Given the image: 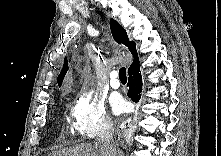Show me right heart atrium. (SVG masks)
<instances>
[{
    "mask_svg": "<svg viewBox=\"0 0 221 156\" xmlns=\"http://www.w3.org/2000/svg\"><path fill=\"white\" fill-rule=\"evenodd\" d=\"M72 130L82 140H92L113 130V121L103 101L91 93L77 95L70 106Z\"/></svg>",
    "mask_w": 221,
    "mask_h": 156,
    "instance_id": "obj_1",
    "label": "right heart atrium"
}]
</instances>
